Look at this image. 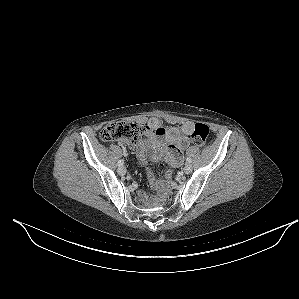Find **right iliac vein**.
Returning a JSON list of instances; mask_svg holds the SVG:
<instances>
[{"instance_id": "63e3f726", "label": "right iliac vein", "mask_w": 299, "mask_h": 299, "mask_svg": "<svg viewBox=\"0 0 299 299\" xmlns=\"http://www.w3.org/2000/svg\"><path fill=\"white\" fill-rule=\"evenodd\" d=\"M117 172L119 175L124 176L126 174V168L124 166H119Z\"/></svg>"}]
</instances>
